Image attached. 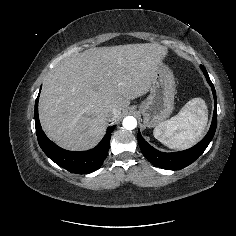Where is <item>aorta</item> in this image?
<instances>
[{
  "instance_id": "aorta-1",
  "label": "aorta",
  "mask_w": 236,
  "mask_h": 236,
  "mask_svg": "<svg viewBox=\"0 0 236 236\" xmlns=\"http://www.w3.org/2000/svg\"><path fill=\"white\" fill-rule=\"evenodd\" d=\"M122 125L126 130H133L137 126V120L133 116H127L123 119Z\"/></svg>"
}]
</instances>
